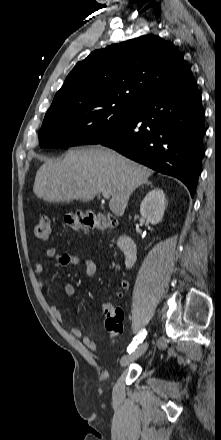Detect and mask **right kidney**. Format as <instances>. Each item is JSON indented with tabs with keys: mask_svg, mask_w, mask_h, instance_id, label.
<instances>
[{
	"mask_svg": "<svg viewBox=\"0 0 221 440\" xmlns=\"http://www.w3.org/2000/svg\"><path fill=\"white\" fill-rule=\"evenodd\" d=\"M166 206V199L162 189L151 190L140 205V213L143 218L153 225L162 221Z\"/></svg>",
	"mask_w": 221,
	"mask_h": 440,
	"instance_id": "ca27d5eb",
	"label": "right kidney"
}]
</instances>
